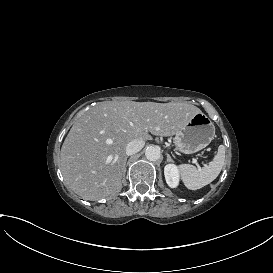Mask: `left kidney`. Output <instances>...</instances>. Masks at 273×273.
Listing matches in <instances>:
<instances>
[{
	"mask_svg": "<svg viewBox=\"0 0 273 273\" xmlns=\"http://www.w3.org/2000/svg\"><path fill=\"white\" fill-rule=\"evenodd\" d=\"M164 175L166 183L171 188H176L179 184V173L177 166L174 164H167L164 168Z\"/></svg>",
	"mask_w": 273,
	"mask_h": 273,
	"instance_id": "1",
	"label": "left kidney"
}]
</instances>
